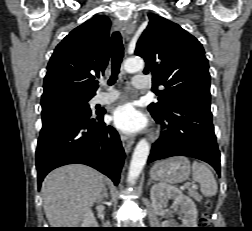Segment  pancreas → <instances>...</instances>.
Returning <instances> with one entry per match:
<instances>
[{
    "label": "pancreas",
    "instance_id": "cf45deb5",
    "mask_svg": "<svg viewBox=\"0 0 252 231\" xmlns=\"http://www.w3.org/2000/svg\"><path fill=\"white\" fill-rule=\"evenodd\" d=\"M189 194H190V196H192L193 198H195L197 200L200 199V195L194 190L189 191Z\"/></svg>",
    "mask_w": 252,
    "mask_h": 231
}]
</instances>
